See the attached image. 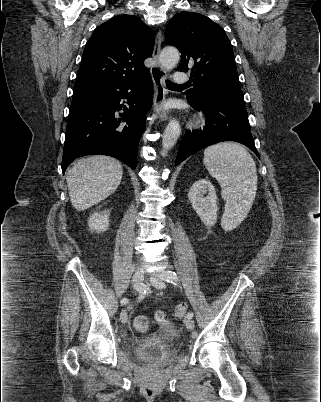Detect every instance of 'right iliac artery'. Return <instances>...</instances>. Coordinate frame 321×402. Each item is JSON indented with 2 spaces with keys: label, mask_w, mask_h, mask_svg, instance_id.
<instances>
[{
  "label": "right iliac artery",
  "mask_w": 321,
  "mask_h": 402,
  "mask_svg": "<svg viewBox=\"0 0 321 402\" xmlns=\"http://www.w3.org/2000/svg\"><path fill=\"white\" fill-rule=\"evenodd\" d=\"M136 289L139 291V286L138 287H136ZM128 303V299L127 298H123L122 300H121V304L122 305H125V304H127Z\"/></svg>",
  "instance_id": "obj_1"
}]
</instances>
